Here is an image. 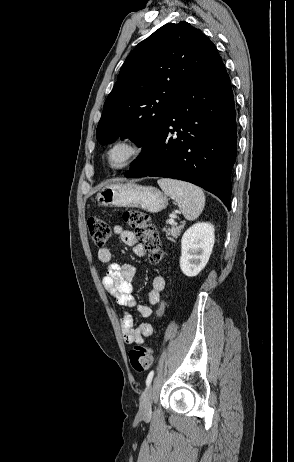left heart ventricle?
Returning <instances> with one entry per match:
<instances>
[{
  "label": "left heart ventricle",
  "mask_w": 294,
  "mask_h": 462,
  "mask_svg": "<svg viewBox=\"0 0 294 462\" xmlns=\"http://www.w3.org/2000/svg\"><path fill=\"white\" fill-rule=\"evenodd\" d=\"M128 151L125 147H118L111 155V161L115 164L121 162L127 155Z\"/></svg>",
  "instance_id": "1"
}]
</instances>
